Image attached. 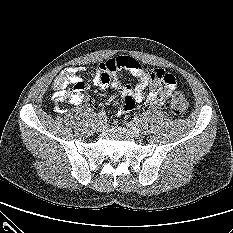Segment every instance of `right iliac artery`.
<instances>
[{
	"label": "right iliac artery",
	"mask_w": 233,
	"mask_h": 233,
	"mask_svg": "<svg viewBox=\"0 0 233 233\" xmlns=\"http://www.w3.org/2000/svg\"><path fill=\"white\" fill-rule=\"evenodd\" d=\"M98 117L99 119H104L106 117V114L104 112H99Z\"/></svg>",
	"instance_id": "82829eb1"
}]
</instances>
